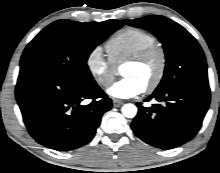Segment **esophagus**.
<instances>
[{
	"label": "esophagus",
	"mask_w": 220,
	"mask_h": 173,
	"mask_svg": "<svg viewBox=\"0 0 220 173\" xmlns=\"http://www.w3.org/2000/svg\"><path fill=\"white\" fill-rule=\"evenodd\" d=\"M124 104L123 101L119 100V99H113V106L114 107H120Z\"/></svg>",
	"instance_id": "1"
}]
</instances>
